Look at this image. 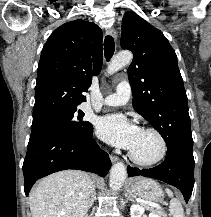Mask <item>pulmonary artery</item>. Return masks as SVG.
<instances>
[{
	"label": "pulmonary artery",
	"instance_id": "pulmonary-artery-1",
	"mask_svg": "<svg viewBox=\"0 0 211 217\" xmlns=\"http://www.w3.org/2000/svg\"><path fill=\"white\" fill-rule=\"evenodd\" d=\"M131 97V86L127 81H121L116 87V92L106 96L102 101L103 106H122L125 105Z\"/></svg>",
	"mask_w": 211,
	"mask_h": 217
}]
</instances>
